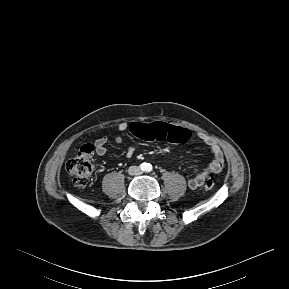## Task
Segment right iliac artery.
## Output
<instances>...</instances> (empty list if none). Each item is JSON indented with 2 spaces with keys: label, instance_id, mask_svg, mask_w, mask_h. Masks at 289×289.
<instances>
[{
  "label": "right iliac artery",
  "instance_id": "82829eb1",
  "mask_svg": "<svg viewBox=\"0 0 289 289\" xmlns=\"http://www.w3.org/2000/svg\"><path fill=\"white\" fill-rule=\"evenodd\" d=\"M147 164H145V163H142V164H140V168H141V170H146L147 169Z\"/></svg>",
  "mask_w": 289,
  "mask_h": 289
}]
</instances>
